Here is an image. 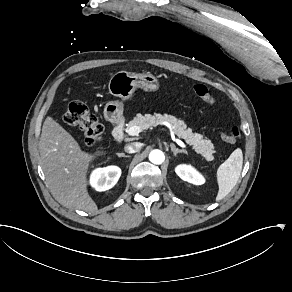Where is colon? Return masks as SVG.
<instances>
[{
  "label": "colon",
  "mask_w": 292,
  "mask_h": 292,
  "mask_svg": "<svg viewBox=\"0 0 292 292\" xmlns=\"http://www.w3.org/2000/svg\"><path fill=\"white\" fill-rule=\"evenodd\" d=\"M193 90L199 99L207 104H214L215 97L207 86L197 84ZM63 116L68 124L75 125L84 132L87 145L94 146L102 140L104 133L103 125L92 115L82 101L74 100L69 102L65 106ZM223 138L229 143L237 142L240 139L239 128L237 126L229 127L223 132Z\"/></svg>",
  "instance_id": "colon-1"
}]
</instances>
